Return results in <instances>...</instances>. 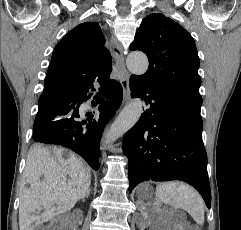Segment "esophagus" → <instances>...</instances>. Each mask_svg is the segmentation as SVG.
<instances>
[{
    "label": "esophagus",
    "instance_id": "esophagus-1",
    "mask_svg": "<svg viewBox=\"0 0 241 230\" xmlns=\"http://www.w3.org/2000/svg\"><path fill=\"white\" fill-rule=\"evenodd\" d=\"M109 48L113 58L117 63L118 69L122 75L120 79V83L123 89V102L127 103L130 99V93H131L130 86H129L130 74L125 67L124 55L122 53V46L114 37H112L110 39Z\"/></svg>",
    "mask_w": 241,
    "mask_h": 230
}]
</instances>
